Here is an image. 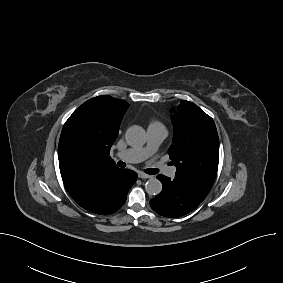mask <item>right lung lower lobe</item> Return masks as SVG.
<instances>
[{
	"mask_svg": "<svg viewBox=\"0 0 283 283\" xmlns=\"http://www.w3.org/2000/svg\"><path fill=\"white\" fill-rule=\"evenodd\" d=\"M136 180L137 174L132 170L105 169L69 194L85 210L109 214L125 203L128 190Z\"/></svg>",
	"mask_w": 283,
	"mask_h": 283,
	"instance_id": "1",
	"label": "right lung lower lobe"
}]
</instances>
